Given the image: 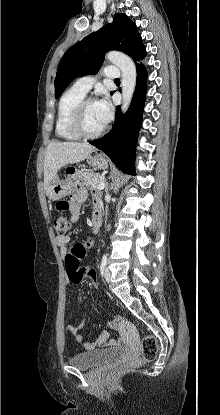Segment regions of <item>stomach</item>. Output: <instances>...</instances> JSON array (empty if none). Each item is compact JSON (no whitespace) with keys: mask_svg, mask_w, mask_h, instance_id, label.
I'll return each instance as SVG.
<instances>
[{"mask_svg":"<svg viewBox=\"0 0 220 415\" xmlns=\"http://www.w3.org/2000/svg\"><path fill=\"white\" fill-rule=\"evenodd\" d=\"M89 163L96 169L104 170L108 167V161L102 154L90 156ZM76 179V176L67 177L65 179H60L56 176L47 187V195L52 200L62 199L74 190Z\"/></svg>","mask_w":220,"mask_h":415,"instance_id":"obj_1","label":"stomach"}]
</instances>
